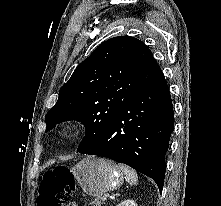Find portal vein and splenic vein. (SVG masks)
<instances>
[{
  "label": "portal vein and splenic vein",
  "mask_w": 221,
  "mask_h": 206,
  "mask_svg": "<svg viewBox=\"0 0 221 206\" xmlns=\"http://www.w3.org/2000/svg\"><path fill=\"white\" fill-rule=\"evenodd\" d=\"M109 196H110L109 194H106V195H105V199L109 198Z\"/></svg>",
  "instance_id": "obj_1"
}]
</instances>
